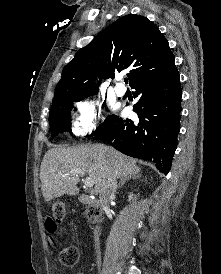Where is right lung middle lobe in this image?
I'll use <instances>...</instances> for the list:
<instances>
[{"label":"right lung middle lobe","mask_w":221,"mask_h":274,"mask_svg":"<svg viewBox=\"0 0 221 274\" xmlns=\"http://www.w3.org/2000/svg\"><path fill=\"white\" fill-rule=\"evenodd\" d=\"M83 98L76 97H62L52 101V107L50 109L49 123L52 131V136L57 135L61 131H69V118L73 108V102L75 100L80 101ZM114 118V115L108 116L105 122H103L91 136L97 134L103 130L109 122Z\"/></svg>","instance_id":"1"}]
</instances>
